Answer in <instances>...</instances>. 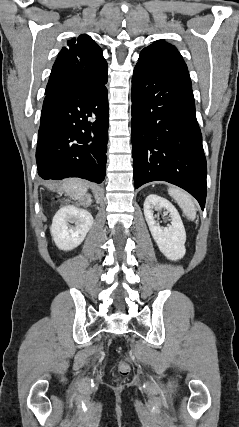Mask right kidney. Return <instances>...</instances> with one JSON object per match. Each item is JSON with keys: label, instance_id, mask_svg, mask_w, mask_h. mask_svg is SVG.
<instances>
[{"label": "right kidney", "instance_id": "right-kidney-1", "mask_svg": "<svg viewBox=\"0 0 239 427\" xmlns=\"http://www.w3.org/2000/svg\"><path fill=\"white\" fill-rule=\"evenodd\" d=\"M92 225L93 217L87 210L68 205L55 214L51 235L59 249L69 251L83 242Z\"/></svg>", "mask_w": 239, "mask_h": 427}]
</instances>
